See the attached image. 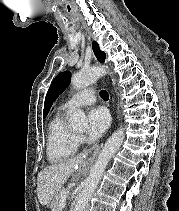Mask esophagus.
<instances>
[{"instance_id":"esophagus-1","label":"esophagus","mask_w":179,"mask_h":211,"mask_svg":"<svg viewBox=\"0 0 179 211\" xmlns=\"http://www.w3.org/2000/svg\"><path fill=\"white\" fill-rule=\"evenodd\" d=\"M100 147H87L86 154H83V159H88V163H96L95 156H98Z\"/></svg>"}]
</instances>
